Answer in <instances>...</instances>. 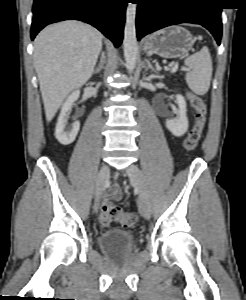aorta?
<instances>
[{"label":"aorta","instance_id":"aorta-1","mask_svg":"<svg viewBox=\"0 0 246 300\" xmlns=\"http://www.w3.org/2000/svg\"><path fill=\"white\" fill-rule=\"evenodd\" d=\"M136 12V4L129 3L126 9V21L123 40L124 57L126 61V68L129 73H132L134 71L138 57V44L135 26Z\"/></svg>","mask_w":246,"mask_h":300}]
</instances>
